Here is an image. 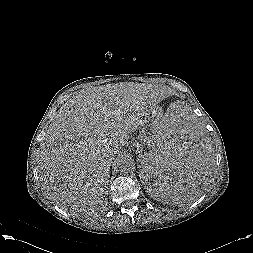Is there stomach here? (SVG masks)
<instances>
[{"label":"stomach","instance_id":"stomach-1","mask_svg":"<svg viewBox=\"0 0 253 253\" xmlns=\"http://www.w3.org/2000/svg\"><path fill=\"white\" fill-rule=\"evenodd\" d=\"M163 116L162 111L157 107L155 111L149 113L140 125V142L143 146L149 147L153 140L154 132L158 126V122Z\"/></svg>","mask_w":253,"mask_h":253}]
</instances>
